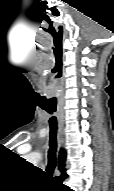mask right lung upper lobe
<instances>
[{
	"label": "right lung upper lobe",
	"instance_id": "cb5924a9",
	"mask_svg": "<svg viewBox=\"0 0 114 191\" xmlns=\"http://www.w3.org/2000/svg\"><path fill=\"white\" fill-rule=\"evenodd\" d=\"M65 159H66V152L63 149H61L60 153H59V165H58L60 171L62 172L60 177H62L66 174L65 169H64ZM60 177H57V178H60Z\"/></svg>",
	"mask_w": 114,
	"mask_h": 191
}]
</instances>
